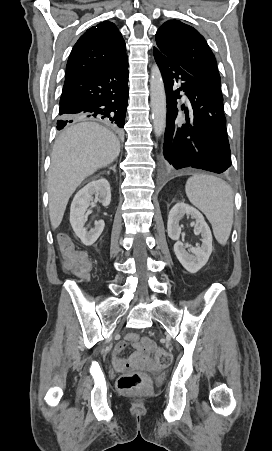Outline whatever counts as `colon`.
<instances>
[{
	"mask_svg": "<svg viewBox=\"0 0 272 451\" xmlns=\"http://www.w3.org/2000/svg\"><path fill=\"white\" fill-rule=\"evenodd\" d=\"M57 242L63 250L61 258L66 260L63 268L73 267L74 271H82L81 275L86 277L88 275L87 270L89 269L87 252L81 251L80 247H72L70 240L64 234L58 235ZM124 347V344H120L116 346V350H122ZM143 348L145 350H141L140 356L136 355L133 358H112V367H121L122 375L118 380V386L122 390L135 391L151 386L152 382L149 376L145 372L136 370L135 365L139 364L140 357L141 359H151L152 367L158 370L167 368L171 363V355L162 351L161 345H156L155 342H146Z\"/></svg>",
	"mask_w": 272,
	"mask_h": 451,
	"instance_id": "1",
	"label": "colon"
}]
</instances>
